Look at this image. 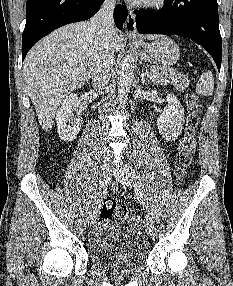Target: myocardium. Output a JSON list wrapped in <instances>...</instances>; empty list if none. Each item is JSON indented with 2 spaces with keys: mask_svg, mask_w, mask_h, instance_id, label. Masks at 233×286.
I'll list each match as a JSON object with an SVG mask.
<instances>
[{
  "mask_svg": "<svg viewBox=\"0 0 233 286\" xmlns=\"http://www.w3.org/2000/svg\"><path fill=\"white\" fill-rule=\"evenodd\" d=\"M165 3L166 0H142L140 2H136L135 5L147 9H156L164 6Z\"/></svg>",
  "mask_w": 233,
  "mask_h": 286,
  "instance_id": "obj_1",
  "label": "myocardium"
}]
</instances>
